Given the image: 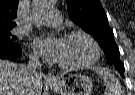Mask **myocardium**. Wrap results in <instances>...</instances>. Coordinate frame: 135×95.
I'll list each match as a JSON object with an SVG mask.
<instances>
[{
	"mask_svg": "<svg viewBox=\"0 0 135 95\" xmlns=\"http://www.w3.org/2000/svg\"><path fill=\"white\" fill-rule=\"evenodd\" d=\"M75 36H81L88 40V42L91 44L92 49H93V56L91 59L81 64L70 65V64H64V63L59 62L58 65L61 68L66 69V70H80V69L88 68L94 65L95 63H97L101 56L100 46L92 35L82 30H74V31L68 32L65 35V38H71Z\"/></svg>",
	"mask_w": 135,
	"mask_h": 95,
	"instance_id": "1",
	"label": "myocardium"
}]
</instances>
